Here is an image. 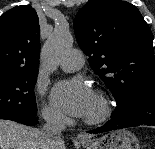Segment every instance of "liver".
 Here are the masks:
<instances>
[{
	"label": "liver",
	"instance_id": "liver-1",
	"mask_svg": "<svg viewBox=\"0 0 155 149\" xmlns=\"http://www.w3.org/2000/svg\"><path fill=\"white\" fill-rule=\"evenodd\" d=\"M0 149H45L43 131L0 120ZM59 149H65V144Z\"/></svg>",
	"mask_w": 155,
	"mask_h": 149
}]
</instances>
